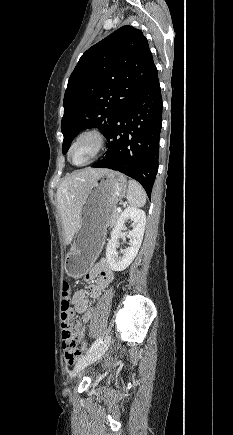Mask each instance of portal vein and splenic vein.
<instances>
[{
  "instance_id": "obj_1",
  "label": "portal vein and splenic vein",
  "mask_w": 233,
  "mask_h": 435,
  "mask_svg": "<svg viewBox=\"0 0 233 435\" xmlns=\"http://www.w3.org/2000/svg\"><path fill=\"white\" fill-rule=\"evenodd\" d=\"M117 211H118V212H120V211H121V208H120V207H118V208H117Z\"/></svg>"
}]
</instances>
